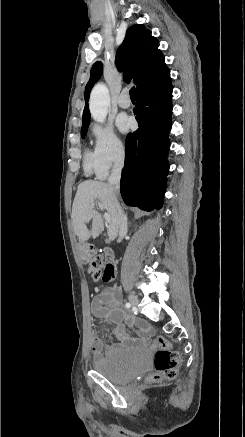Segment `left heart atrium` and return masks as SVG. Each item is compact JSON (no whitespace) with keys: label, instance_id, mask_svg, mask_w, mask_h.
Listing matches in <instances>:
<instances>
[{"label":"left heart atrium","instance_id":"1","mask_svg":"<svg viewBox=\"0 0 245 437\" xmlns=\"http://www.w3.org/2000/svg\"><path fill=\"white\" fill-rule=\"evenodd\" d=\"M117 126L122 132H127L131 126V121L127 116H120L117 119Z\"/></svg>","mask_w":245,"mask_h":437}]
</instances>
